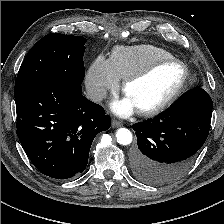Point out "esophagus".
<instances>
[{"instance_id":"34e87169","label":"esophagus","mask_w":224,"mask_h":224,"mask_svg":"<svg viewBox=\"0 0 224 224\" xmlns=\"http://www.w3.org/2000/svg\"><path fill=\"white\" fill-rule=\"evenodd\" d=\"M111 125L113 128H116V127H120L122 126V123L116 119H113L112 122H111Z\"/></svg>"}]
</instances>
